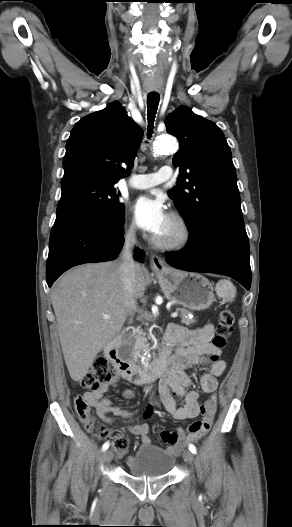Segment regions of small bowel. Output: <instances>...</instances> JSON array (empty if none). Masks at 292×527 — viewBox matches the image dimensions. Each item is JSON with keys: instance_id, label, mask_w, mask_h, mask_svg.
<instances>
[{"instance_id": "obj_1", "label": "small bowel", "mask_w": 292, "mask_h": 527, "mask_svg": "<svg viewBox=\"0 0 292 527\" xmlns=\"http://www.w3.org/2000/svg\"><path fill=\"white\" fill-rule=\"evenodd\" d=\"M214 335L213 325L207 324L196 329H189L179 325H170L167 330V341L176 344L177 349L169 355L168 369L160 381V394L162 402L167 412L175 420L195 418L202 415V421H196L188 427L186 433L183 429L178 431H161L159 438L168 443V451L178 454L187 443L194 442L205 435L211 427L215 411L217 408L218 388L217 378L226 370V363L222 360L210 364L207 373L203 374L199 380L200 389L211 394L210 398L204 403L199 401V393L196 389H190L191 380L185 369L193 365L205 363L206 356L220 355L221 351L216 349L211 343ZM170 350V349H169ZM123 376L117 372L108 382L102 384L95 391H88L84 398L96 410L99 418L107 424L112 423L109 415L131 417V413L112 405V401L104 398L103 395L110 387H115ZM176 393L183 398L182 405H177L172 397ZM125 398H132L134 392L125 390ZM129 433L139 436L144 444H151L149 436V426L146 423L132 425L127 428Z\"/></svg>"}]
</instances>
